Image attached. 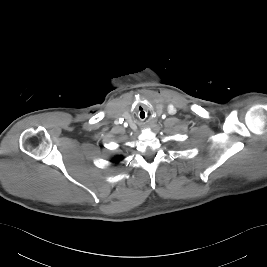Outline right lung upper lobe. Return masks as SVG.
<instances>
[{"mask_svg": "<svg viewBox=\"0 0 267 267\" xmlns=\"http://www.w3.org/2000/svg\"><path fill=\"white\" fill-rule=\"evenodd\" d=\"M121 160H123V157H122V156H116L115 158H113V159L111 160V162L117 164V163H119Z\"/></svg>", "mask_w": 267, "mask_h": 267, "instance_id": "1", "label": "right lung upper lobe"}]
</instances>
